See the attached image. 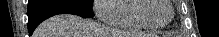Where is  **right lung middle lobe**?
<instances>
[{
    "mask_svg": "<svg viewBox=\"0 0 219 37\" xmlns=\"http://www.w3.org/2000/svg\"><path fill=\"white\" fill-rule=\"evenodd\" d=\"M82 2H85V3H87V4H90V5H92V0H81Z\"/></svg>",
    "mask_w": 219,
    "mask_h": 37,
    "instance_id": "obj_1",
    "label": "right lung middle lobe"
}]
</instances>
